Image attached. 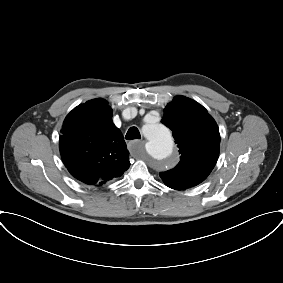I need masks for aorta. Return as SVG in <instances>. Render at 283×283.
<instances>
[{
    "label": "aorta",
    "instance_id": "1",
    "mask_svg": "<svg viewBox=\"0 0 283 283\" xmlns=\"http://www.w3.org/2000/svg\"><path fill=\"white\" fill-rule=\"evenodd\" d=\"M143 131L147 139L145 144L147 154L160 167H167L168 158L173 151V140L170 131L160 123L148 124Z\"/></svg>",
    "mask_w": 283,
    "mask_h": 283
}]
</instances>
